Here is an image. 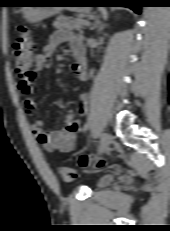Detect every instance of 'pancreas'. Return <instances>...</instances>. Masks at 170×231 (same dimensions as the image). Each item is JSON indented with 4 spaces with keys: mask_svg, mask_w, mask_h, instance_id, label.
I'll use <instances>...</instances> for the list:
<instances>
[{
    "mask_svg": "<svg viewBox=\"0 0 170 231\" xmlns=\"http://www.w3.org/2000/svg\"><path fill=\"white\" fill-rule=\"evenodd\" d=\"M81 19L73 20L71 17H66L64 15H59L53 22V26L57 29H68V30H78L81 31L83 24L78 21Z\"/></svg>",
    "mask_w": 170,
    "mask_h": 231,
    "instance_id": "1",
    "label": "pancreas"
}]
</instances>
